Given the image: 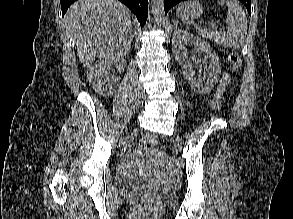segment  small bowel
I'll return each mask as SVG.
<instances>
[{
	"label": "small bowel",
	"mask_w": 293,
	"mask_h": 219,
	"mask_svg": "<svg viewBox=\"0 0 293 219\" xmlns=\"http://www.w3.org/2000/svg\"><path fill=\"white\" fill-rule=\"evenodd\" d=\"M228 80H229V75L227 72H224L222 74L220 81H219L217 91L214 95L215 98H218L220 96L221 92L226 88V86L228 84Z\"/></svg>",
	"instance_id": "c3829d8e"
}]
</instances>
